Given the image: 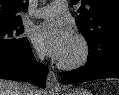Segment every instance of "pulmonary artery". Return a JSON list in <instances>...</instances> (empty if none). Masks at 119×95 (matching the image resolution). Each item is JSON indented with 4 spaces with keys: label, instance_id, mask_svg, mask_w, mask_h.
I'll list each match as a JSON object with an SVG mask.
<instances>
[{
    "label": "pulmonary artery",
    "instance_id": "pulmonary-artery-1",
    "mask_svg": "<svg viewBox=\"0 0 119 95\" xmlns=\"http://www.w3.org/2000/svg\"><path fill=\"white\" fill-rule=\"evenodd\" d=\"M67 9L68 5L65 0H57L45 7L40 8L37 11L36 16L39 18H48L58 14H63L67 12Z\"/></svg>",
    "mask_w": 119,
    "mask_h": 95
}]
</instances>
